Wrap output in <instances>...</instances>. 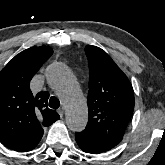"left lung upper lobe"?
Wrapping results in <instances>:
<instances>
[{"instance_id": "5c2ea615", "label": "left lung upper lobe", "mask_w": 165, "mask_h": 165, "mask_svg": "<svg viewBox=\"0 0 165 165\" xmlns=\"http://www.w3.org/2000/svg\"><path fill=\"white\" fill-rule=\"evenodd\" d=\"M89 120L84 131L116 146L134 110V92L126 75L101 48L87 45Z\"/></svg>"}]
</instances>
